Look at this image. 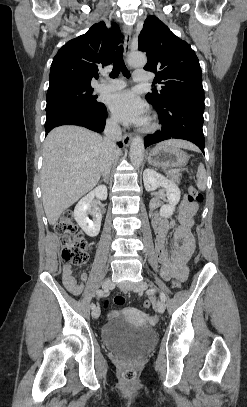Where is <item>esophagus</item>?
<instances>
[{"label": "esophagus", "instance_id": "esophagus-1", "mask_svg": "<svg viewBox=\"0 0 247 407\" xmlns=\"http://www.w3.org/2000/svg\"><path fill=\"white\" fill-rule=\"evenodd\" d=\"M125 41H124V56L127 61L128 54L130 52L131 45V35H132V26L124 25ZM132 135L130 133H124L123 135V144L125 147H128L131 143Z\"/></svg>", "mask_w": 247, "mask_h": 407}]
</instances>
